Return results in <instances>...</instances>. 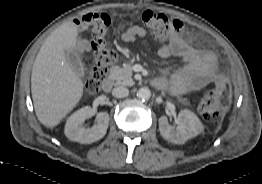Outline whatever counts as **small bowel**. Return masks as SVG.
Returning a JSON list of instances; mask_svg holds the SVG:
<instances>
[{
	"label": "small bowel",
	"instance_id": "c3829d8e",
	"mask_svg": "<svg viewBox=\"0 0 262 184\" xmlns=\"http://www.w3.org/2000/svg\"><path fill=\"white\" fill-rule=\"evenodd\" d=\"M74 24L77 28H82L79 20H75ZM146 36L147 31L143 27L132 26L121 34V39L124 42H134ZM78 49L88 50V41L85 39L79 41ZM158 55L161 58L177 56L183 61V66L171 74L169 80L164 77L156 80L160 88H169L170 92L177 96L198 91L213 83L214 78L219 75L216 56L213 52L200 51L181 38H175L167 44L160 45Z\"/></svg>",
	"mask_w": 262,
	"mask_h": 184
}]
</instances>
